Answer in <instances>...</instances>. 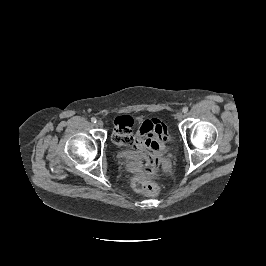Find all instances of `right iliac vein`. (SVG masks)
I'll use <instances>...</instances> for the list:
<instances>
[{"instance_id":"63e3f726","label":"right iliac vein","mask_w":266,"mask_h":266,"mask_svg":"<svg viewBox=\"0 0 266 266\" xmlns=\"http://www.w3.org/2000/svg\"><path fill=\"white\" fill-rule=\"evenodd\" d=\"M97 126H98V127H103V126H104L103 121L99 120V121L97 122Z\"/></svg>"}]
</instances>
